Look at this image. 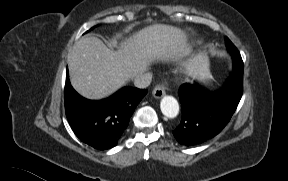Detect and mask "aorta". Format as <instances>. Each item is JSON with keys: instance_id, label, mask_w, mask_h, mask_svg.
I'll return each mask as SVG.
<instances>
[{"instance_id": "1", "label": "aorta", "mask_w": 288, "mask_h": 181, "mask_svg": "<svg viewBox=\"0 0 288 181\" xmlns=\"http://www.w3.org/2000/svg\"><path fill=\"white\" fill-rule=\"evenodd\" d=\"M160 109L164 116L175 118L179 113L178 101L173 96H164L160 102Z\"/></svg>"}]
</instances>
